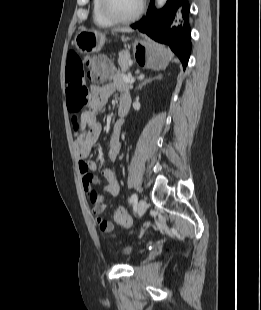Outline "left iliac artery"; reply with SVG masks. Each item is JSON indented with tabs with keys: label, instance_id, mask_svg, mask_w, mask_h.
Returning a JSON list of instances; mask_svg holds the SVG:
<instances>
[{
	"label": "left iliac artery",
	"instance_id": "44dca946",
	"mask_svg": "<svg viewBox=\"0 0 261 310\" xmlns=\"http://www.w3.org/2000/svg\"><path fill=\"white\" fill-rule=\"evenodd\" d=\"M137 199H138L137 195H136V194H132V196H131V198H130V202H131V203H136V202H137Z\"/></svg>",
	"mask_w": 261,
	"mask_h": 310
}]
</instances>
